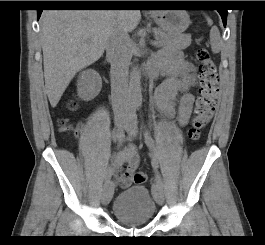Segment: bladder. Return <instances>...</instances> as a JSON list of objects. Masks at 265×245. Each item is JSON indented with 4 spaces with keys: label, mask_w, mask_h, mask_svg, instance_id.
I'll list each match as a JSON object with an SVG mask.
<instances>
[{
    "label": "bladder",
    "mask_w": 265,
    "mask_h": 245,
    "mask_svg": "<svg viewBox=\"0 0 265 245\" xmlns=\"http://www.w3.org/2000/svg\"><path fill=\"white\" fill-rule=\"evenodd\" d=\"M112 213L122 225L136 227L150 223L156 214V203L142 184L130 185L115 198Z\"/></svg>",
    "instance_id": "1"
}]
</instances>
